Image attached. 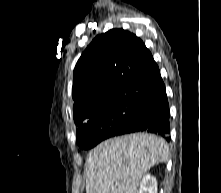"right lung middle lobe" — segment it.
<instances>
[{
	"mask_svg": "<svg viewBox=\"0 0 221 193\" xmlns=\"http://www.w3.org/2000/svg\"><path fill=\"white\" fill-rule=\"evenodd\" d=\"M146 100L127 98L114 101L79 122L77 143L89 149L114 136L118 130L131 124L145 110Z\"/></svg>",
	"mask_w": 221,
	"mask_h": 193,
	"instance_id": "obj_1",
	"label": "right lung middle lobe"
}]
</instances>
